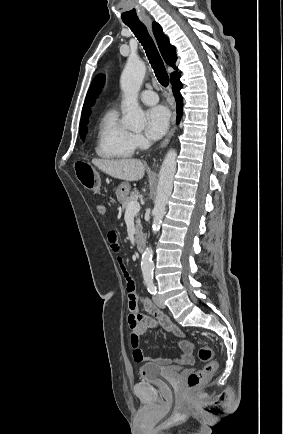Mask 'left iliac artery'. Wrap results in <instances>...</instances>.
Masks as SVG:
<instances>
[{"mask_svg": "<svg viewBox=\"0 0 283 434\" xmlns=\"http://www.w3.org/2000/svg\"><path fill=\"white\" fill-rule=\"evenodd\" d=\"M145 284L147 286L148 292L152 295L156 294V287L153 283V277H145Z\"/></svg>", "mask_w": 283, "mask_h": 434, "instance_id": "44dca946", "label": "left iliac artery"}]
</instances>
